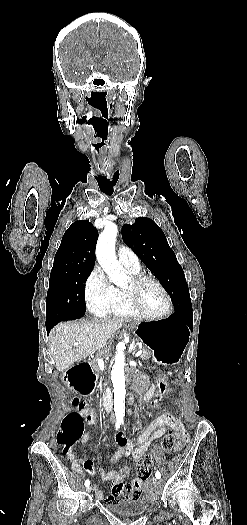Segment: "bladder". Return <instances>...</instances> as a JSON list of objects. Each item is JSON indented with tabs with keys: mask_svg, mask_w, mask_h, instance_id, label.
<instances>
[{
	"mask_svg": "<svg viewBox=\"0 0 247 525\" xmlns=\"http://www.w3.org/2000/svg\"><path fill=\"white\" fill-rule=\"evenodd\" d=\"M154 504V500L148 495L139 498H124L120 501L106 502L104 506L107 511L117 517L143 516Z\"/></svg>",
	"mask_w": 247,
	"mask_h": 525,
	"instance_id": "1",
	"label": "bladder"
}]
</instances>
